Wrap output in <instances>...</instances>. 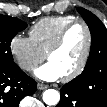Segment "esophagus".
Here are the masks:
<instances>
[{"label": "esophagus", "instance_id": "esophagus-1", "mask_svg": "<svg viewBox=\"0 0 107 107\" xmlns=\"http://www.w3.org/2000/svg\"><path fill=\"white\" fill-rule=\"evenodd\" d=\"M37 88H38L39 90H43V89L48 88V85L43 84V83H38V84H37Z\"/></svg>", "mask_w": 107, "mask_h": 107}]
</instances>
